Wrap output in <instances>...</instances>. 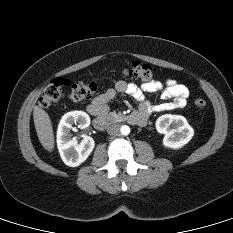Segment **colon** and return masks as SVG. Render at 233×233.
<instances>
[{
	"label": "colon",
	"instance_id": "obj_1",
	"mask_svg": "<svg viewBox=\"0 0 233 233\" xmlns=\"http://www.w3.org/2000/svg\"><path fill=\"white\" fill-rule=\"evenodd\" d=\"M122 74L141 82H152L155 78L153 68L148 64L140 62H133L122 70ZM96 90L97 83L93 81L70 82L63 78H54L44 87L39 103L42 107L48 108L64 98L76 102L83 101L91 98ZM195 105L197 108L202 109L206 106V102L203 99H196Z\"/></svg>",
	"mask_w": 233,
	"mask_h": 233
}]
</instances>
